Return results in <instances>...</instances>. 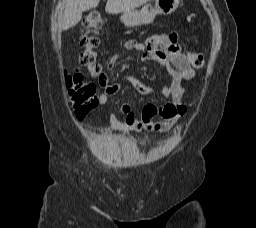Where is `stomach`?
<instances>
[{
  "mask_svg": "<svg viewBox=\"0 0 256 228\" xmlns=\"http://www.w3.org/2000/svg\"><path fill=\"white\" fill-rule=\"evenodd\" d=\"M180 0H155V4H145L140 10L133 8L122 12L121 21L126 27H136L150 24L157 14L169 15L173 13Z\"/></svg>",
  "mask_w": 256,
  "mask_h": 228,
  "instance_id": "0dacf381",
  "label": "stomach"
}]
</instances>
